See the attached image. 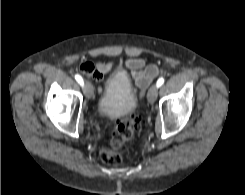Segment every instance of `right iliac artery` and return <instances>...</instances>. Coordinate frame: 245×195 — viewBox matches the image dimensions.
Returning a JSON list of instances; mask_svg holds the SVG:
<instances>
[{
    "label": "right iliac artery",
    "mask_w": 245,
    "mask_h": 195,
    "mask_svg": "<svg viewBox=\"0 0 245 195\" xmlns=\"http://www.w3.org/2000/svg\"><path fill=\"white\" fill-rule=\"evenodd\" d=\"M75 79H76V81H77L81 86L84 85L83 78H82L80 75L76 74V75H75Z\"/></svg>",
    "instance_id": "right-iliac-artery-1"
}]
</instances>
